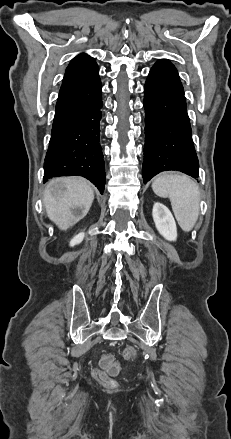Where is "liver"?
I'll list each match as a JSON object with an SVG mask.
<instances>
[{
  "label": "liver",
  "mask_w": 231,
  "mask_h": 439,
  "mask_svg": "<svg viewBox=\"0 0 231 439\" xmlns=\"http://www.w3.org/2000/svg\"><path fill=\"white\" fill-rule=\"evenodd\" d=\"M94 200L92 185L82 177L51 179L45 187L43 203L48 218L61 230L83 218Z\"/></svg>",
  "instance_id": "obj_1"
}]
</instances>
